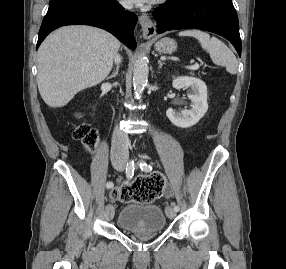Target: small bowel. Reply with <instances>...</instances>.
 Listing matches in <instances>:
<instances>
[{"label":"small bowel","instance_id":"1","mask_svg":"<svg viewBox=\"0 0 286 269\" xmlns=\"http://www.w3.org/2000/svg\"><path fill=\"white\" fill-rule=\"evenodd\" d=\"M165 196L167 198H171L173 196V191H172V189L170 187H166V189H165Z\"/></svg>","mask_w":286,"mask_h":269}]
</instances>
